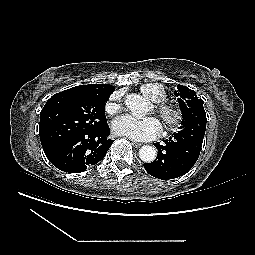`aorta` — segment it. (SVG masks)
Listing matches in <instances>:
<instances>
[{
	"label": "aorta",
	"instance_id": "aorta-1",
	"mask_svg": "<svg viewBox=\"0 0 255 255\" xmlns=\"http://www.w3.org/2000/svg\"><path fill=\"white\" fill-rule=\"evenodd\" d=\"M125 104L131 113L136 117L142 116L143 99L137 94H129L125 99ZM156 148L150 145L142 146L139 149V157L145 163H151L156 159Z\"/></svg>",
	"mask_w": 255,
	"mask_h": 255
}]
</instances>
